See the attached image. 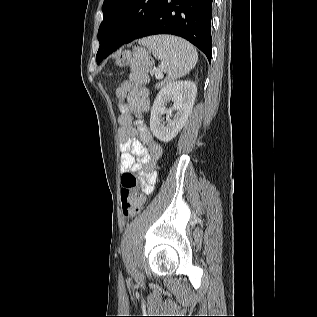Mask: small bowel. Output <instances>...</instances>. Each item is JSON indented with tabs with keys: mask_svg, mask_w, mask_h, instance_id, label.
<instances>
[{
	"mask_svg": "<svg viewBox=\"0 0 317 317\" xmlns=\"http://www.w3.org/2000/svg\"><path fill=\"white\" fill-rule=\"evenodd\" d=\"M116 100L120 109L118 117L121 146V172H137L142 176L141 187L145 195L153 192L155 166L162 155V146L152 136L141 120L148 109L146 88L123 82L116 90Z\"/></svg>",
	"mask_w": 317,
	"mask_h": 317,
	"instance_id": "small-bowel-1",
	"label": "small bowel"
}]
</instances>
